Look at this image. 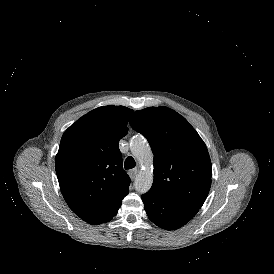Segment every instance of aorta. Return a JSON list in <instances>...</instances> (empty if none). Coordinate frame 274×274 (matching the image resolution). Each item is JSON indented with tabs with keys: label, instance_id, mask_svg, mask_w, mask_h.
Segmentation results:
<instances>
[{
	"label": "aorta",
	"instance_id": "762f6f07",
	"mask_svg": "<svg viewBox=\"0 0 274 274\" xmlns=\"http://www.w3.org/2000/svg\"><path fill=\"white\" fill-rule=\"evenodd\" d=\"M130 150L142 167L135 178L134 187L139 193H146L153 183V153L149 143L142 135H136L130 140Z\"/></svg>",
	"mask_w": 274,
	"mask_h": 274
}]
</instances>
